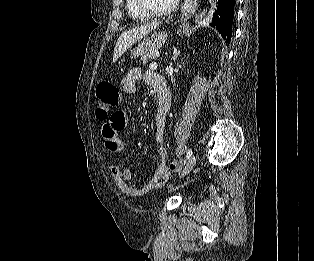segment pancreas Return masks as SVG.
Masks as SVG:
<instances>
[{"mask_svg":"<svg viewBox=\"0 0 314 261\" xmlns=\"http://www.w3.org/2000/svg\"><path fill=\"white\" fill-rule=\"evenodd\" d=\"M159 56V48L153 49L144 56H142L141 60L144 65H146L149 59H156Z\"/></svg>","mask_w":314,"mask_h":261,"instance_id":"1","label":"pancreas"}]
</instances>
